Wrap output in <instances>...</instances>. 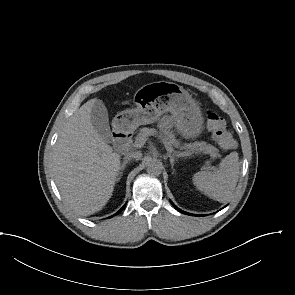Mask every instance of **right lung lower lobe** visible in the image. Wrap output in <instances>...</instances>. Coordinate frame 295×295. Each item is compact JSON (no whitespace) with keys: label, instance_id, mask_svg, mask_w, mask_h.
<instances>
[{"label":"right lung lower lobe","instance_id":"right-lung-lower-lobe-1","mask_svg":"<svg viewBox=\"0 0 295 295\" xmlns=\"http://www.w3.org/2000/svg\"><path fill=\"white\" fill-rule=\"evenodd\" d=\"M124 207H122L115 215H117L118 213H120L122 211Z\"/></svg>","mask_w":295,"mask_h":295}]
</instances>
